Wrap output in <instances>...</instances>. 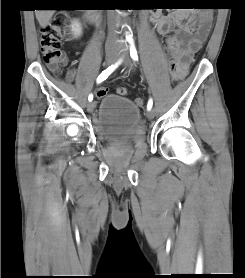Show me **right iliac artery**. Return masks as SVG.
Returning a JSON list of instances; mask_svg holds the SVG:
<instances>
[{
  "instance_id": "1",
  "label": "right iliac artery",
  "mask_w": 245,
  "mask_h": 278,
  "mask_svg": "<svg viewBox=\"0 0 245 278\" xmlns=\"http://www.w3.org/2000/svg\"><path fill=\"white\" fill-rule=\"evenodd\" d=\"M121 63V60L114 65L109 66L106 70L102 71V73L97 78V83L103 82L113 71L114 69ZM89 101L93 100V95L90 94L88 97Z\"/></svg>"
}]
</instances>
